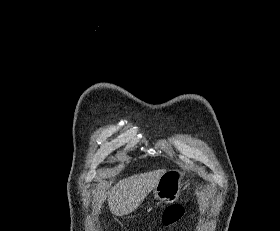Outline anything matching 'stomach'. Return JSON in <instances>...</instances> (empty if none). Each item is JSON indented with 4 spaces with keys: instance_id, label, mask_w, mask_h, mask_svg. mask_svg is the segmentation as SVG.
<instances>
[{
    "instance_id": "1",
    "label": "stomach",
    "mask_w": 280,
    "mask_h": 231,
    "mask_svg": "<svg viewBox=\"0 0 280 231\" xmlns=\"http://www.w3.org/2000/svg\"><path fill=\"white\" fill-rule=\"evenodd\" d=\"M186 175L180 169H168L161 175L157 185L153 189L156 199L165 201V203H173L178 199L183 187H185Z\"/></svg>"
}]
</instances>
